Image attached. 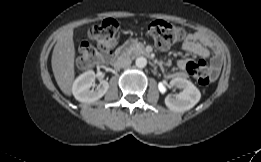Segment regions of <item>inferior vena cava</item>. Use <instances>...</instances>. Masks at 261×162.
<instances>
[{
  "label": "inferior vena cava",
  "mask_w": 261,
  "mask_h": 162,
  "mask_svg": "<svg viewBox=\"0 0 261 162\" xmlns=\"http://www.w3.org/2000/svg\"><path fill=\"white\" fill-rule=\"evenodd\" d=\"M131 65V60L129 58H119L115 63L116 68H128Z\"/></svg>",
  "instance_id": "inferior-vena-cava-1"
}]
</instances>
